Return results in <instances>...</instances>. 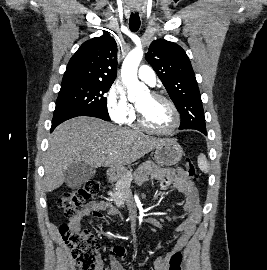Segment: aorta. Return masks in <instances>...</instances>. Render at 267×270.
I'll return each mask as SVG.
<instances>
[{"instance_id": "1", "label": "aorta", "mask_w": 267, "mask_h": 270, "mask_svg": "<svg viewBox=\"0 0 267 270\" xmlns=\"http://www.w3.org/2000/svg\"><path fill=\"white\" fill-rule=\"evenodd\" d=\"M143 58V50L137 47L130 51L121 69V78L127 87L128 99L134 101L148 93V88L137 78V70Z\"/></svg>"}]
</instances>
